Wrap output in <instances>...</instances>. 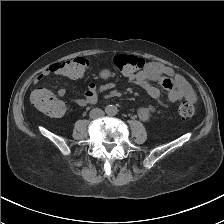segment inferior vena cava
I'll return each mask as SVG.
<instances>
[{"label": "inferior vena cava", "mask_w": 224, "mask_h": 224, "mask_svg": "<svg viewBox=\"0 0 224 224\" xmlns=\"http://www.w3.org/2000/svg\"><path fill=\"white\" fill-rule=\"evenodd\" d=\"M89 116L92 119H98L104 116V111L99 108H94L90 111Z\"/></svg>", "instance_id": "602c4592"}]
</instances>
